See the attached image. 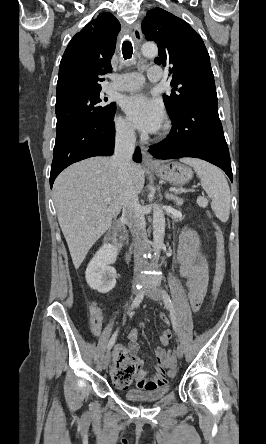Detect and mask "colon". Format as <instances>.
Returning <instances> with one entry per match:
<instances>
[{"mask_svg":"<svg viewBox=\"0 0 266 444\" xmlns=\"http://www.w3.org/2000/svg\"><path fill=\"white\" fill-rule=\"evenodd\" d=\"M215 228H216V238H217V257H216L214 284L212 289L213 301H215L220 291L225 275V265H226L224 237L220 228L218 226H215ZM166 357L170 370L174 371L175 370L174 352L169 350L166 354Z\"/></svg>","mask_w":266,"mask_h":444,"instance_id":"5ec220e1","label":"colon"}]
</instances>
